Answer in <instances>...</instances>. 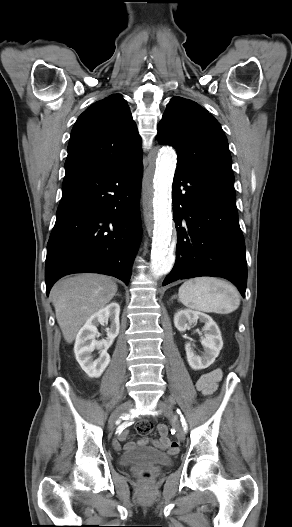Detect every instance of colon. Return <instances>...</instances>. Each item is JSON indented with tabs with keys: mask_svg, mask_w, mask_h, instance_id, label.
<instances>
[{
	"mask_svg": "<svg viewBox=\"0 0 292 527\" xmlns=\"http://www.w3.org/2000/svg\"><path fill=\"white\" fill-rule=\"evenodd\" d=\"M159 429V427H158ZM153 430V423L149 420H143L137 424V431L142 435H147ZM149 474L145 473L144 477L148 478Z\"/></svg>",
	"mask_w": 292,
	"mask_h": 527,
	"instance_id": "5ec220e1",
	"label": "colon"
}]
</instances>
